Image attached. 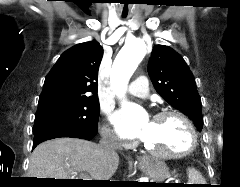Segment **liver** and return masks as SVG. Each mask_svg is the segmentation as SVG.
<instances>
[{
  "instance_id": "1",
  "label": "liver",
  "mask_w": 240,
  "mask_h": 187,
  "mask_svg": "<svg viewBox=\"0 0 240 187\" xmlns=\"http://www.w3.org/2000/svg\"><path fill=\"white\" fill-rule=\"evenodd\" d=\"M118 164V154L106 155L95 143L77 138H57L34 149L28 177L75 179L77 173L86 172L91 180H109Z\"/></svg>"
}]
</instances>
